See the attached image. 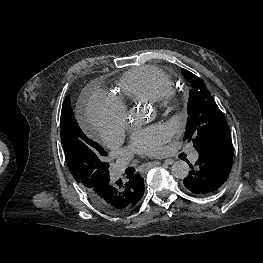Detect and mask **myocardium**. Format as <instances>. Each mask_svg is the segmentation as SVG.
<instances>
[{
    "instance_id": "myocardium-1",
    "label": "myocardium",
    "mask_w": 263,
    "mask_h": 263,
    "mask_svg": "<svg viewBox=\"0 0 263 263\" xmlns=\"http://www.w3.org/2000/svg\"><path fill=\"white\" fill-rule=\"evenodd\" d=\"M157 108L164 110H175L179 106V98L174 91H168L152 101Z\"/></svg>"
}]
</instances>
